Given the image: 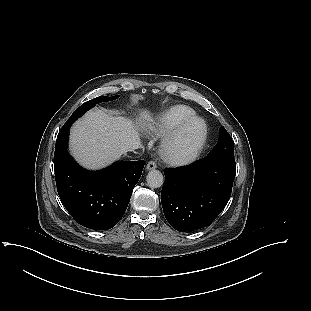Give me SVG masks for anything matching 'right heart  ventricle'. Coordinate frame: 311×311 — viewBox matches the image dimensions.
I'll list each match as a JSON object with an SVG mask.
<instances>
[{"mask_svg": "<svg viewBox=\"0 0 311 311\" xmlns=\"http://www.w3.org/2000/svg\"><path fill=\"white\" fill-rule=\"evenodd\" d=\"M195 115V111L186 105H175L162 113L148 127V132L157 138L164 137L185 119Z\"/></svg>", "mask_w": 311, "mask_h": 311, "instance_id": "1", "label": "right heart ventricle"}]
</instances>
